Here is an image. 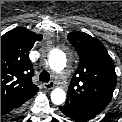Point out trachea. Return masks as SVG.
Listing matches in <instances>:
<instances>
[{
	"mask_svg": "<svg viewBox=\"0 0 122 122\" xmlns=\"http://www.w3.org/2000/svg\"><path fill=\"white\" fill-rule=\"evenodd\" d=\"M39 80L48 83L50 80V75L46 70H43L39 75Z\"/></svg>",
	"mask_w": 122,
	"mask_h": 122,
	"instance_id": "1",
	"label": "trachea"
}]
</instances>
